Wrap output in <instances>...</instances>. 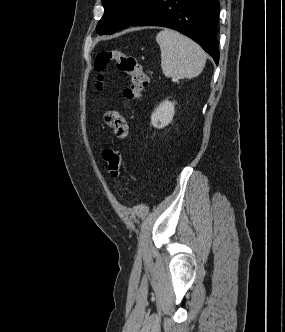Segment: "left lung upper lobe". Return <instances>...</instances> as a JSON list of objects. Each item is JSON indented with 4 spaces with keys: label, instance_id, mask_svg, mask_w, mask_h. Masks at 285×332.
Segmentation results:
<instances>
[{
    "label": "left lung upper lobe",
    "instance_id": "left-lung-upper-lobe-1",
    "mask_svg": "<svg viewBox=\"0 0 285 332\" xmlns=\"http://www.w3.org/2000/svg\"><path fill=\"white\" fill-rule=\"evenodd\" d=\"M104 15L98 22L99 34H113L130 26L154 0H102Z\"/></svg>",
    "mask_w": 285,
    "mask_h": 332
}]
</instances>
